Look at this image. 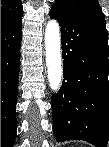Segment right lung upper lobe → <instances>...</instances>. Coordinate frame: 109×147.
I'll use <instances>...</instances> for the list:
<instances>
[{"instance_id": "cb5924a9", "label": "right lung upper lobe", "mask_w": 109, "mask_h": 147, "mask_svg": "<svg viewBox=\"0 0 109 147\" xmlns=\"http://www.w3.org/2000/svg\"><path fill=\"white\" fill-rule=\"evenodd\" d=\"M21 0H1V29L11 26L22 16Z\"/></svg>"}]
</instances>
